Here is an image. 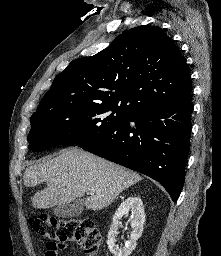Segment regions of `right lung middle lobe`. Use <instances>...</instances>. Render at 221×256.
<instances>
[{
  "instance_id": "1",
  "label": "right lung middle lobe",
  "mask_w": 221,
  "mask_h": 256,
  "mask_svg": "<svg viewBox=\"0 0 221 256\" xmlns=\"http://www.w3.org/2000/svg\"><path fill=\"white\" fill-rule=\"evenodd\" d=\"M134 113L114 104H79L31 116L29 149L80 145L131 118Z\"/></svg>"
}]
</instances>
